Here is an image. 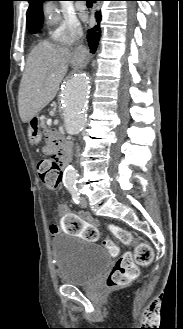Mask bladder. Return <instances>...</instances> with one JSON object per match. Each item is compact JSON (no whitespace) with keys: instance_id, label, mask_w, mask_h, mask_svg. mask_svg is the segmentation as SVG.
<instances>
[{"instance_id":"obj_1","label":"bladder","mask_w":183,"mask_h":329,"mask_svg":"<svg viewBox=\"0 0 183 329\" xmlns=\"http://www.w3.org/2000/svg\"><path fill=\"white\" fill-rule=\"evenodd\" d=\"M57 276L62 283L88 286L110 266V256L92 240H80L70 233L57 234L51 244Z\"/></svg>"}]
</instances>
